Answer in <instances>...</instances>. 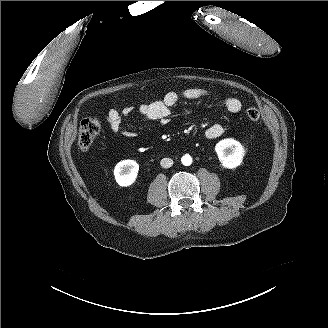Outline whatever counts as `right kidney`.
Listing matches in <instances>:
<instances>
[{
	"mask_svg": "<svg viewBox=\"0 0 328 328\" xmlns=\"http://www.w3.org/2000/svg\"><path fill=\"white\" fill-rule=\"evenodd\" d=\"M139 165L134 160H123L114 169V176L120 186L132 184L138 174Z\"/></svg>",
	"mask_w": 328,
	"mask_h": 328,
	"instance_id": "ca27d5eb",
	"label": "right kidney"
}]
</instances>
